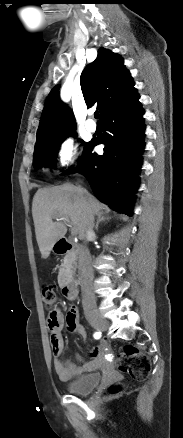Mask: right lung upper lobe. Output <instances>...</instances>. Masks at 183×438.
Returning a JSON list of instances; mask_svg holds the SVG:
<instances>
[{
    "mask_svg": "<svg viewBox=\"0 0 183 438\" xmlns=\"http://www.w3.org/2000/svg\"><path fill=\"white\" fill-rule=\"evenodd\" d=\"M122 57L100 48L97 58L80 76V85L88 107L98 102L101 119L108 112L137 94ZM59 85L49 93L41 115L37 139L76 128L71 110L59 99Z\"/></svg>",
    "mask_w": 183,
    "mask_h": 438,
    "instance_id": "right-lung-upper-lobe-1",
    "label": "right lung upper lobe"
}]
</instances>
